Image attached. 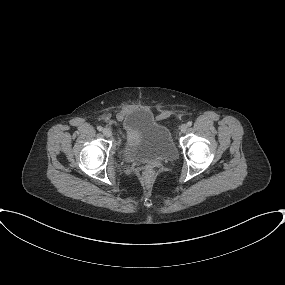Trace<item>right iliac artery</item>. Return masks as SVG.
Listing matches in <instances>:
<instances>
[{
  "label": "right iliac artery",
  "instance_id": "right-iliac-artery-1",
  "mask_svg": "<svg viewBox=\"0 0 285 285\" xmlns=\"http://www.w3.org/2000/svg\"><path fill=\"white\" fill-rule=\"evenodd\" d=\"M102 129H103L102 126H98V127H97V130H98V131H102Z\"/></svg>",
  "mask_w": 285,
  "mask_h": 285
}]
</instances>
